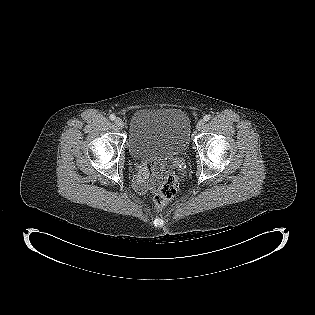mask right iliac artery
I'll return each mask as SVG.
<instances>
[{"instance_id":"1","label":"right iliac artery","mask_w":315,"mask_h":315,"mask_svg":"<svg viewBox=\"0 0 315 315\" xmlns=\"http://www.w3.org/2000/svg\"><path fill=\"white\" fill-rule=\"evenodd\" d=\"M109 118H110V120H115V118H116V116L114 115V114H111L110 116H109Z\"/></svg>"}]
</instances>
